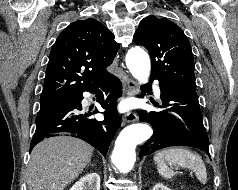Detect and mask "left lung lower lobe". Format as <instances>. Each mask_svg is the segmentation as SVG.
<instances>
[{
    "label": "left lung lower lobe",
    "instance_id": "obj_1",
    "mask_svg": "<svg viewBox=\"0 0 238 190\" xmlns=\"http://www.w3.org/2000/svg\"><path fill=\"white\" fill-rule=\"evenodd\" d=\"M155 79V78H152ZM161 111H139V119L152 125V137L140 151L143 155L171 146H191L209 154V140L203 125L195 89L160 81Z\"/></svg>",
    "mask_w": 238,
    "mask_h": 190
}]
</instances>
